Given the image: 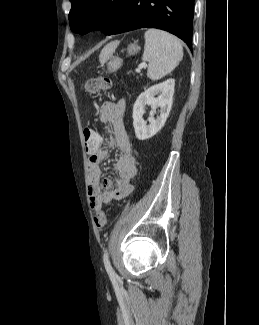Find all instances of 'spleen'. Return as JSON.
Wrapping results in <instances>:
<instances>
[{"mask_svg": "<svg viewBox=\"0 0 259 325\" xmlns=\"http://www.w3.org/2000/svg\"><path fill=\"white\" fill-rule=\"evenodd\" d=\"M142 56L147 61V77L159 80L172 72L183 58V48L177 37L159 29H148Z\"/></svg>", "mask_w": 259, "mask_h": 325, "instance_id": "3e777b00", "label": "spleen"}]
</instances>
